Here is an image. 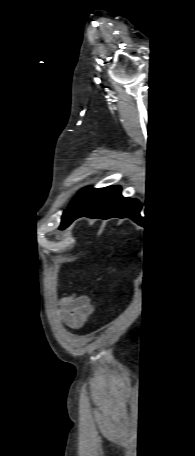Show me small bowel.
I'll list each match as a JSON object with an SVG mask.
<instances>
[{
    "label": "small bowel",
    "mask_w": 195,
    "mask_h": 456,
    "mask_svg": "<svg viewBox=\"0 0 195 456\" xmlns=\"http://www.w3.org/2000/svg\"><path fill=\"white\" fill-rule=\"evenodd\" d=\"M58 312L70 328H79L93 312L90 299L85 295L73 294L58 301Z\"/></svg>",
    "instance_id": "c3829d8e"
}]
</instances>
